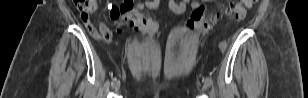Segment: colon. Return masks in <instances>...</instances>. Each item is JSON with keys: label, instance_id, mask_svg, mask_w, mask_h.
Segmentation results:
<instances>
[{"label": "colon", "instance_id": "colon-1", "mask_svg": "<svg viewBox=\"0 0 308 98\" xmlns=\"http://www.w3.org/2000/svg\"><path fill=\"white\" fill-rule=\"evenodd\" d=\"M258 0H241L237 3H231L226 11V14L235 19H243L246 16L247 8L251 7ZM75 6L80 12L81 18L85 24L89 25L90 15L96 10L95 0H74ZM132 1L125 0L120 6L111 10V17H117L127 23L128 28L131 31H139L142 34H148L151 31L157 30V25L151 23L152 10H148V15H141L140 9H131ZM145 13V12H144ZM221 18V14L208 13L204 6H201L190 15L189 20L186 23V28L189 31L195 32L199 35H203L210 31L213 24H215ZM121 28L120 26L118 27ZM120 33L121 30H118ZM104 40H111L112 34L102 36Z\"/></svg>", "mask_w": 308, "mask_h": 98}]
</instances>
